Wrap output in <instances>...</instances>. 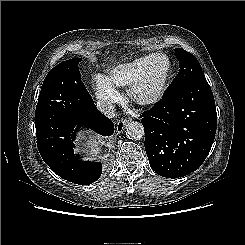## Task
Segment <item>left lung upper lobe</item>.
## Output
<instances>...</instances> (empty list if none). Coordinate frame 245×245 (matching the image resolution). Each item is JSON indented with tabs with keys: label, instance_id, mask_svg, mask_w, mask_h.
I'll return each mask as SVG.
<instances>
[{
	"label": "left lung upper lobe",
	"instance_id": "1",
	"mask_svg": "<svg viewBox=\"0 0 245 245\" xmlns=\"http://www.w3.org/2000/svg\"><path fill=\"white\" fill-rule=\"evenodd\" d=\"M175 53L179 61V72L165 92H171L191 82L205 79V75L198 60L182 48H176Z\"/></svg>",
	"mask_w": 245,
	"mask_h": 245
}]
</instances>
